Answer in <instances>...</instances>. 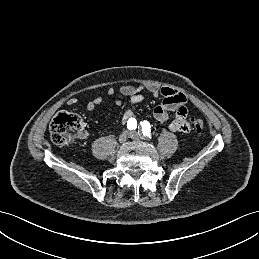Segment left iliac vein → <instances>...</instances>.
Masks as SVG:
<instances>
[{"instance_id":"1","label":"left iliac vein","mask_w":259,"mask_h":259,"mask_svg":"<svg viewBox=\"0 0 259 259\" xmlns=\"http://www.w3.org/2000/svg\"><path fill=\"white\" fill-rule=\"evenodd\" d=\"M129 137L133 140H139L140 139V135L139 133H137L136 131H132L129 133Z\"/></svg>"}]
</instances>
